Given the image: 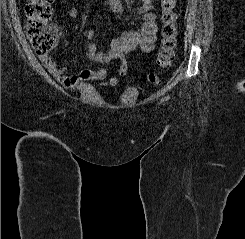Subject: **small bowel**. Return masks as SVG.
Returning a JSON list of instances; mask_svg holds the SVG:
<instances>
[{
  "label": "small bowel",
  "mask_w": 245,
  "mask_h": 239,
  "mask_svg": "<svg viewBox=\"0 0 245 239\" xmlns=\"http://www.w3.org/2000/svg\"><path fill=\"white\" fill-rule=\"evenodd\" d=\"M140 6L137 9V14L142 18V23L138 31L124 32L115 37L107 51H99L95 42L91 41L94 36V31L85 32L86 41L84 48L87 51L89 60L106 65L112 61L118 60L119 67L114 75H108L104 67L94 69H83L76 74L68 75L66 68L60 67L50 57H40L41 62L47 70L67 89L73 90L79 84L90 81H98L106 87H115L119 82V77L126 75L127 62L126 56L135 51L140 50L144 53L151 52L155 47L156 41V14L154 12V0H139ZM108 8L111 12L122 15L125 11L124 4L121 0H108ZM67 16L75 18L77 11L70 9L67 11ZM67 45V42H65Z\"/></svg>",
  "instance_id": "obj_1"
}]
</instances>
